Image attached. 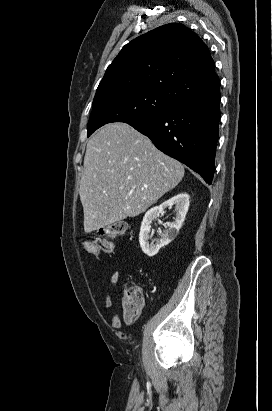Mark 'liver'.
<instances>
[{
	"label": "liver",
	"instance_id": "6515ba94",
	"mask_svg": "<svg viewBox=\"0 0 272 411\" xmlns=\"http://www.w3.org/2000/svg\"><path fill=\"white\" fill-rule=\"evenodd\" d=\"M184 167L126 123L102 127L87 143L80 200L90 233L145 212L183 178Z\"/></svg>",
	"mask_w": 272,
	"mask_h": 411
}]
</instances>
